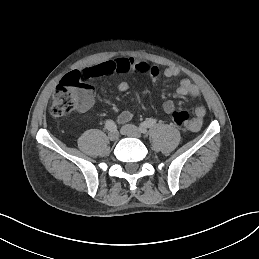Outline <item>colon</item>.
<instances>
[{"label": "colon", "mask_w": 259, "mask_h": 259, "mask_svg": "<svg viewBox=\"0 0 259 259\" xmlns=\"http://www.w3.org/2000/svg\"><path fill=\"white\" fill-rule=\"evenodd\" d=\"M92 101V87L82 82L77 71H72L62 78L53 93L51 114L55 118H61L76 109L89 108ZM171 119L179 127H187L190 121L188 113L182 110L172 111Z\"/></svg>", "instance_id": "colon-1"}]
</instances>
